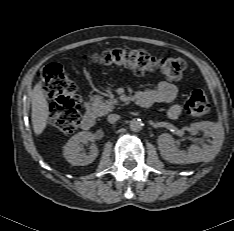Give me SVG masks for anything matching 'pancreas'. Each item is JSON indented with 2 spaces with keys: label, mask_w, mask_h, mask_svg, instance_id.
Masks as SVG:
<instances>
[{
  "label": "pancreas",
  "mask_w": 234,
  "mask_h": 231,
  "mask_svg": "<svg viewBox=\"0 0 234 231\" xmlns=\"http://www.w3.org/2000/svg\"><path fill=\"white\" fill-rule=\"evenodd\" d=\"M118 104L116 99H109L105 102L103 97L99 95H93L90 97V108L97 116H103L108 114L114 109V106Z\"/></svg>",
  "instance_id": "pancreas-1"
}]
</instances>
